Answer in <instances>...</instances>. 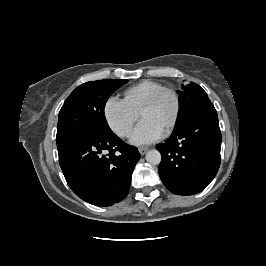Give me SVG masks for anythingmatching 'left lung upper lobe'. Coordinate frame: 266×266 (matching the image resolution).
<instances>
[{"instance_id": "left-lung-upper-lobe-1", "label": "left lung upper lobe", "mask_w": 266, "mask_h": 266, "mask_svg": "<svg viewBox=\"0 0 266 266\" xmlns=\"http://www.w3.org/2000/svg\"><path fill=\"white\" fill-rule=\"evenodd\" d=\"M179 100L180 112L176 126L180 125L183 120H185L189 115H191L200 107L211 103L207 96V93L194 82H191L189 85L182 87Z\"/></svg>"}]
</instances>
